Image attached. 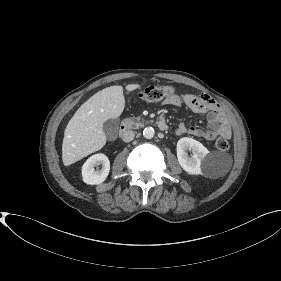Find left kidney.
Instances as JSON below:
<instances>
[{
    "label": "left kidney",
    "instance_id": "obj_1",
    "mask_svg": "<svg viewBox=\"0 0 281 281\" xmlns=\"http://www.w3.org/2000/svg\"><path fill=\"white\" fill-rule=\"evenodd\" d=\"M188 149L193 153L191 157L186 153ZM208 153V149L193 138L183 137L177 143L178 162L182 169L191 175L202 173V162Z\"/></svg>",
    "mask_w": 281,
    "mask_h": 281
}]
</instances>
